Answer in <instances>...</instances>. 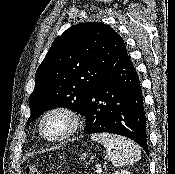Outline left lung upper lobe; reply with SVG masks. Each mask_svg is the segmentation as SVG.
<instances>
[{
  "label": "left lung upper lobe",
  "mask_w": 175,
  "mask_h": 174,
  "mask_svg": "<svg viewBox=\"0 0 175 174\" xmlns=\"http://www.w3.org/2000/svg\"><path fill=\"white\" fill-rule=\"evenodd\" d=\"M125 49L122 37L103 23H80L66 30L37 69L27 124L56 107L82 112L87 94L112 70Z\"/></svg>",
  "instance_id": "1"
}]
</instances>
